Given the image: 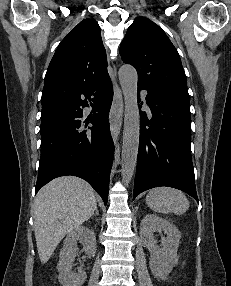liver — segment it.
<instances>
[{"mask_svg":"<svg viewBox=\"0 0 231 286\" xmlns=\"http://www.w3.org/2000/svg\"><path fill=\"white\" fill-rule=\"evenodd\" d=\"M93 188L75 176L56 178L37 193L34 206V232L39 258L46 263L60 241L95 212Z\"/></svg>","mask_w":231,"mask_h":286,"instance_id":"6515ba94","label":"liver"}]
</instances>
